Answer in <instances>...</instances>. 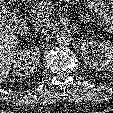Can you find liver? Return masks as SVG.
Returning <instances> with one entry per match:
<instances>
[{
    "instance_id": "6515ba94",
    "label": "liver",
    "mask_w": 113,
    "mask_h": 113,
    "mask_svg": "<svg viewBox=\"0 0 113 113\" xmlns=\"http://www.w3.org/2000/svg\"><path fill=\"white\" fill-rule=\"evenodd\" d=\"M3 3L4 0H0V84L8 77L19 52V38L4 15L6 10Z\"/></svg>"
}]
</instances>
